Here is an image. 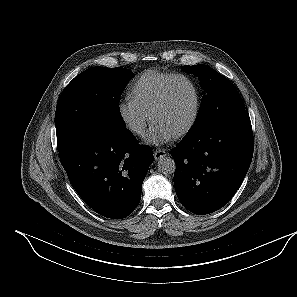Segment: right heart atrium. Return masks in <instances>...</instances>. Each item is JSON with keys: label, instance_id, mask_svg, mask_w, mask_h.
<instances>
[{"label": "right heart atrium", "instance_id": "right-heart-atrium-1", "mask_svg": "<svg viewBox=\"0 0 297 297\" xmlns=\"http://www.w3.org/2000/svg\"><path fill=\"white\" fill-rule=\"evenodd\" d=\"M117 112L122 124L131 134L142 136L145 133L149 116L131 97L118 102Z\"/></svg>", "mask_w": 297, "mask_h": 297}]
</instances>
